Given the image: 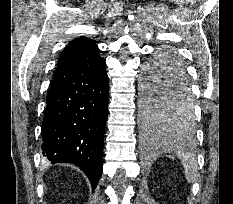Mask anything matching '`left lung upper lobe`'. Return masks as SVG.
I'll list each match as a JSON object with an SVG mask.
<instances>
[{
  "mask_svg": "<svg viewBox=\"0 0 233 204\" xmlns=\"http://www.w3.org/2000/svg\"><path fill=\"white\" fill-rule=\"evenodd\" d=\"M183 71L186 72L180 58L168 50H163L148 62L142 91L145 124L185 132L193 130L195 114L190 84L175 86L172 90L160 84V81L172 79L169 72L181 74Z\"/></svg>",
  "mask_w": 233,
  "mask_h": 204,
  "instance_id": "1",
  "label": "left lung upper lobe"
}]
</instances>
